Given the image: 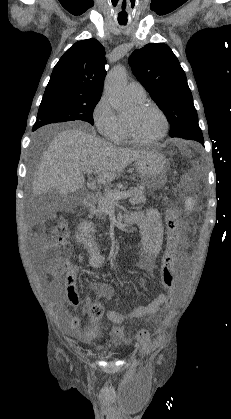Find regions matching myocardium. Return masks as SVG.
<instances>
[{
  "label": "myocardium",
  "instance_id": "obj_1",
  "mask_svg": "<svg viewBox=\"0 0 231 419\" xmlns=\"http://www.w3.org/2000/svg\"><path fill=\"white\" fill-rule=\"evenodd\" d=\"M147 109H152V110H155L156 112L159 113V115L161 116V118L163 120V130L155 138L142 139L135 134L131 121L128 118H126L127 136L130 138V140H132L133 142H135L136 144H139V145H153V144H156L166 136V134L168 133V130H169L168 117L165 114V112L159 106H157L154 103H148V102H141V103H138L135 106L136 111H144V110H147Z\"/></svg>",
  "mask_w": 231,
  "mask_h": 419
}]
</instances>
